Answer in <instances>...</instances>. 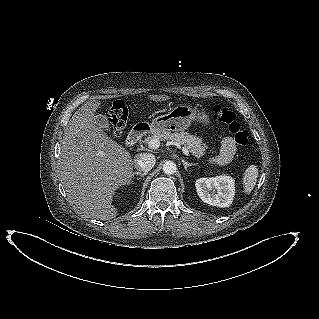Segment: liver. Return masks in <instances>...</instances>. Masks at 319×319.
<instances>
[{
  "instance_id": "1",
  "label": "liver",
  "mask_w": 319,
  "mask_h": 319,
  "mask_svg": "<svg viewBox=\"0 0 319 319\" xmlns=\"http://www.w3.org/2000/svg\"><path fill=\"white\" fill-rule=\"evenodd\" d=\"M166 101L169 96H148ZM100 101L79 108L64 130L60 152L61 181L70 203L87 218L110 220L118 210L112 205L115 191L130 184L133 165L130 153L97 127L95 112Z\"/></svg>"
}]
</instances>
